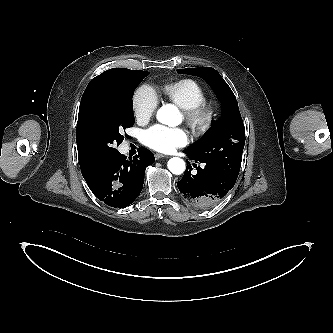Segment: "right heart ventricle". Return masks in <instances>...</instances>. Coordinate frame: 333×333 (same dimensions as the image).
I'll return each instance as SVG.
<instances>
[{
    "label": "right heart ventricle",
    "mask_w": 333,
    "mask_h": 333,
    "mask_svg": "<svg viewBox=\"0 0 333 333\" xmlns=\"http://www.w3.org/2000/svg\"><path fill=\"white\" fill-rule=\"evenodd\" d=\"M165 96L183 110L195 107L206 100L203 87L192 79H181L163 86Z\"/></svg>",
    "instance_id": "e07e8e85"
}]
</instances>
